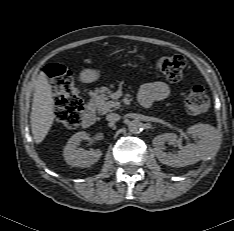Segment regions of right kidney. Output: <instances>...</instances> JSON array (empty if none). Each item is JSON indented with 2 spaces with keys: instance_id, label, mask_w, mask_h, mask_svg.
Returning <instances> with one entry per match:
<instances>
[{
  "instance_id": "ca27d5eb",
  "label": "right kidney",
  "mask_w": 234,
  "mask_h": 231,
  "mask_svg": "<svg viewBox=\"0 0 234 231\" xmlns=\"http://www.w3.org/2000/svg\"><path fill=\"white\" fill-rule=\"evenodd\" d=\"M85 139H88V134L85 131L78 132L68 140L64 148V159L72 167H89L102 156L100 149L87 151L80 148V142Z\"/></svg>"
}]
</instances>
